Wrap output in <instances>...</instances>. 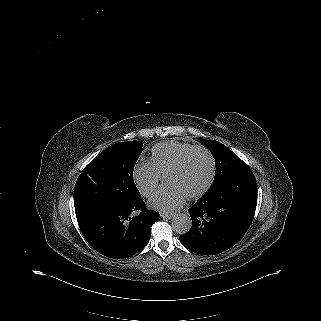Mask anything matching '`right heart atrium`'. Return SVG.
I'll return each mask as SVG.
<instances>
[{
    "mask_svg": "<svg viewBox=\"0 0 321 321\" xmlns=\"http://www.w3.org/2000/svg\"><path fill=\"white\" fill-rule=\"evenodd\" d=\"M133 178L137 188L144 195L153 192L160 180L159 174L149 160H141L136 164Z\"/></svg>",
    "mask_w": 321,
    "mask_h": 321,
    "instance_id": "obj_1",
    "label": "right heart atrium"
}]
</instances>
